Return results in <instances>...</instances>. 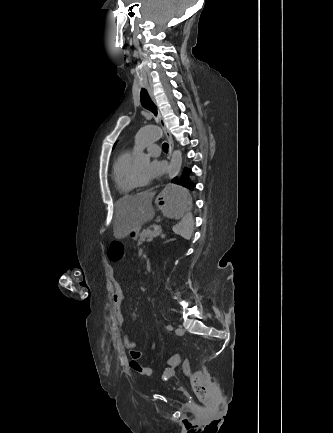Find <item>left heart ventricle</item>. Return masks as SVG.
<instances>
[{
    "label": "left heart ventricle",
    "instance_id": "b2bd125f",
    "mask_svg": "<svg viewBox=\"0 0 333 433\" xmlns=\"http://www.w3.org/2000/svg\"><path fill=\"white\" fill-rule=\"evenodd\" d=\"M146 152L147 153L145 154V157H146L145 160L134 163L135 177L139 183H145L146 182L145 169H146L149 161H151V159H153L155 157V155H152L151 153H149L148 150Z\"/></svg>",
    "mask_w": 333,
    "mask_h": 433
}]
</instances>
